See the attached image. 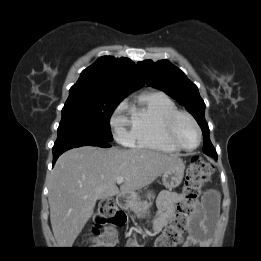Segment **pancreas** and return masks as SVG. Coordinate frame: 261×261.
Listing matches in <instances>:
<instances>
[{
	"instance_id": "cf45deb5",
	"label": "pancreas",
	"mask_w": 261,
	"mask_h": 261,
	"mask_svg": "<svg viewBox=\"0 0 261 261\" xmlns=\"http://www.w3.org/2000/svg\"><path fill=\"white\" fill-rule=\"evenodd\" d=\"M152 205V202L147 201H139L135 200L132 203H130V209L134 212V214L138 218H142L149 210V207Z\"/></svg>"
}]
</instances>
